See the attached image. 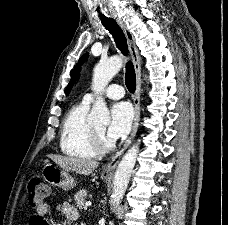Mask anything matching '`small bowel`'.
I'll return each instance as SVG.
<instances>
[{
  "instance_id": "1",
  "label": "small bowel",
  "mask_w": 228,
  "mask_h": 225,
  "mask_svg": "<svg viewBox=\"0 0 228 225\" xmlns=\"http://www.w3.org/2000/svg\"><path fill=\"white\" fill-rule=\"evenodd\" d=\"M61 211L69 216L70 218L76 217V211L73 209L71 205L68 203H64L61 206ZM49 213V206L48 204L44 203L38 208H36L35 216H33L29 222V225H52V222H45V216ZM43 217V218H40Z\"/></svg>"
}]
</instances>
